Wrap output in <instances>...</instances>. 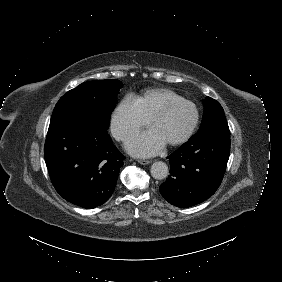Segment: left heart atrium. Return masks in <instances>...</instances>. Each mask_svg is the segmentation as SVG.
Masks as SVG:
<instances>
[{"instance_id": "1", "label": "left heart atrium", "mask_w": 282, "mask_h": 282, "mask_svg": "<svg viewBox=\"0 0 282 282\" xmlns=\"http://www.w3.org/2000/svg\"><path fill=\"white\" fill-rule=\"evenodd\" d=\"M164 138L156 128L134 135L128 142V150L138 156H150L162 149Z\"/></svg>"}]
</instances>
